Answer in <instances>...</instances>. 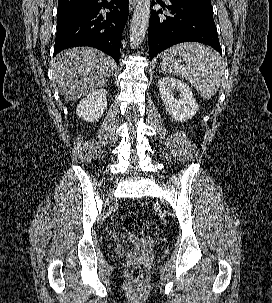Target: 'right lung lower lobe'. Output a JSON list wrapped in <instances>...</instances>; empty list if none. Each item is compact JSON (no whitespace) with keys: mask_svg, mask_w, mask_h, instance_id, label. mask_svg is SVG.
Returning <instances> with one entry per match:
<instances>
[{"mask_svg":"<svg viewBox=\"0 0 272 303\" xmlns=\"http://www.w3.org/2000/svg\"><path fill=\"white\" fill-rule=\"evenodd\" d=\"M101 9H109L106 14ZM54 55L75 46H91L119 62L122 32L128 19V0H91L57 13Z\"/></svg>","mask_w":272,"mask_h":303,"instance_id":"98d812e1","label":"right lung lower lobe"}]
</instances>
